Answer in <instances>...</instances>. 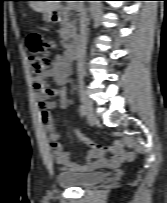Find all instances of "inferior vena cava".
<instances>
[{"instance_id": "602c4592", "label": "inferior vena cava", "mask_w": 167, "mask_h": 203, "mask_svg": "<svg viewBox=\"0 0 167 203\" xmlns=\"http://www.w3.org/2000/svg\"><path fill=\"white\" fill-rule=\"evenodd\" d=\"M80 34H79V45L77 49L78 59V73L80 76L84 74V61L87 44V17L84 9H80Z\"/></svg>"}]
</instances>
